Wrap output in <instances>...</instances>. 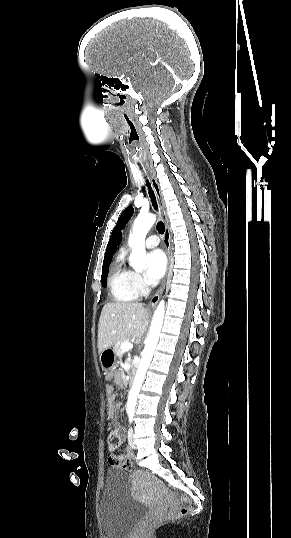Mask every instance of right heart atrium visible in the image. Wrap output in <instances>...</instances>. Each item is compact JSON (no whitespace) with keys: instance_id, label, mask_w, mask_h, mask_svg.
Wrapping results in <instances>:
<instances>
[{"instance_id":"right-heart-atrium-1","label":"right heart atrium","mask_w":291,"mask_h":538,"mask_svg":"<svg viewBox=\"0 0 291 538\" xmlns=\"http://www.w3.org/2000/svg\"><path fill=\"white\" fill-rule=\"evenodd\" d=\"M134 279H135V284L139 292L140 293L144 292L146 290V283L144 279L142 278V276L138 273H134Z\"/></svg>"}]
</instances>
